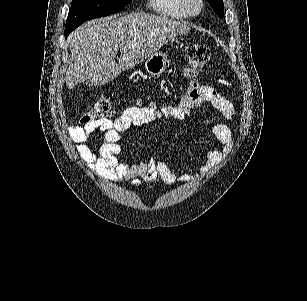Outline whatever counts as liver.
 I'll return each mask as SVG.
<instances>
[{
  "instance_id": "6515ba94",
  "label": "liver",
  "mask_w": 307,
  "mask_h": 301,
  "mask_svg": "<svg viewBox=\"0 0 307 301\" xmlns=\"http://www.w3.org/2000/svg\"><path fill=\"white\" fill-rule=\"evenodd\" d=\"M191 22L162 14L132 12L118 18H95L68 36L71 60L67 88L78 82L101 86L157 52L170 38L190 32ZM120 48L119 64L115 58Z\"/></svg>"
}]
</instances>
